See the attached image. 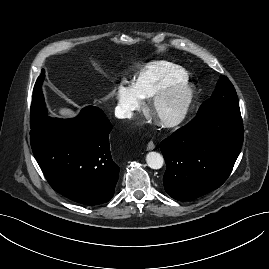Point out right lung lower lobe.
<instances>
[{"label": "right lung lower lobe", "mask_w": 269, "mask_h": 269, "mask_svg": "<svg viewBox=\"0 0 269 269\" xmlns=\"http://www.w3.org/2000/svg\"><path fill=\"white\" fill-rule=\"evenodd\" d=\"M111 129L103 111L88 106L76 118L48 117L31 130L32 151L55 191L84 205H98L113 197L119 167L110 153Z\"/></svg>", "instance_id": "right-lung-lower-lobe-1"}]
</instances>
